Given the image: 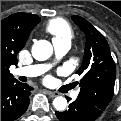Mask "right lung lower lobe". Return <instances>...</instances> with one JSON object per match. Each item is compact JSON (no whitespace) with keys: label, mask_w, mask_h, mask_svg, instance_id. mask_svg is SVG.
Instances as JSON below:
<instances>
[{"label":"right lung lower lobe","mask_w":121,"mask_h":121,"mask_svg":"<svg viewBox=\"0 0 121 121\" xmlns=\"http://www.w3.org/2000/svg\"><path fill=\"white\" fill-rule=\"evenodd\" d=\"M32 87L16 79L1 82V121H13L28 108Z\"/></svg>","instance_id":"right-lung-lower-lobe-1"}]
</instances>
